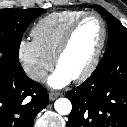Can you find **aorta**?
I'll return each instance as SVG.
<instances>
[{
  "instance_id": "762f6f07",
  "label": "aorta",
  "mask_w": 127,
  "mask_h": 127,
  "mask_svg": "<svg viewBox=\"0 0 127 127\" xmlns=\"http://www.w3.org/2000/svg\"><path fill=\"white\" fill-rule=\"evenodd\" d=\"M55 110L60 115H68L72 110V104L67 98H59L54 104Z\"/></svg>"
}]
</instances>
